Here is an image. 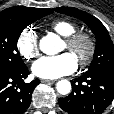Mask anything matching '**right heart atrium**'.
Masks as SVG:
<instances>
[{"label": "right heart atrium", "instance_id": "1", "mask_svg": "<svg viewBox=\"0 0 114 114\" xmlns=\"http://www.w3.org/2000/svg\"><path fill=\"white\" fill-rule=\"evenodd\" d=\"M16 47L20 56L25 60H31L39 54L38 34L33 27L24 28L16 41Z\"/></svg>", "mask_w": 114, "mask_h": 114}]
</instances>
